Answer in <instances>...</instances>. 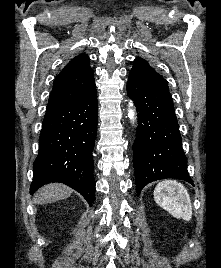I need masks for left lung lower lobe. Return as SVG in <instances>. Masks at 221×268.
Masks as SVG:
<instances>
[{"instance_id": "1", "label": "left lung lower lobe", "mask_w": 221, "mask_h": 268, "mask_svg": "<svg viewBox=\"0 0 221 268\" xmlns=\"http://www.w3.org/2000/svg\"><path fill=\"white\" fill-rule=\"evenodd\" d=\"M127 94L134 101L139 117L133 145L137 193L148 183L163 178H178L193 184L168 89L128 78Z\"/></svg>"}]
</instances>
